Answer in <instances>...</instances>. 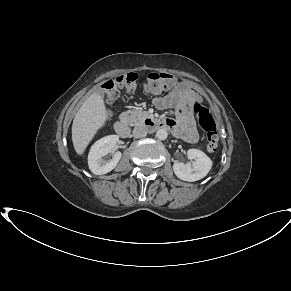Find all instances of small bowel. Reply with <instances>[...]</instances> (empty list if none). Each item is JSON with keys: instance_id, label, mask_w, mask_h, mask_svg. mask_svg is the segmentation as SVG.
Here are the masks:
<instances>
[{"instance_id": "c3829d8e", "label": "small bowel", "mask_w": 291, "mask_h": 291, "mask_svg": "<svg viewBox=\"0 0 291 291\" xmlns=\"http://www.w3.org/2000/svg\"><path fill=\"white\" fill-rule=\"evenodd\" d=\"M199 99V95L194 91L191 83L181 81L165 96L158 97L154 104L158 109H174L177 118H167L165 123L167 129L184 141L192 144L199 142V134L191 112L194 101Z\"/></svg>"}]
</instances>
